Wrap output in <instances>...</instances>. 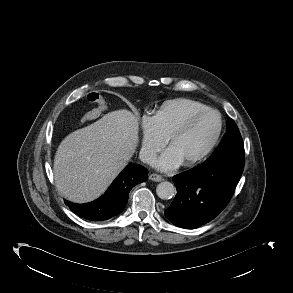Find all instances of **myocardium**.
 Here are the masks:
<instances>
[{"label":"myocardium","instance_id":"myocardium-1","mask_svg":"<svg viewBox=\"0 0 293 293\" xmlns=\"http://www.w3.org/2000/svg\"><path fill=\"white\" fill-rule=\"evenodd\" d=\"M206 114H214L217 116V119H218L217 131H216L214 137L212 138V140L210 141V143L206 146V148L200 154H198L196 157L182 163L186 167H192V166H195V165L199 164L200 162H202L212 152V150L217 145L219 138L221 136V133H222V129H223V121H222L221 114L217 110L211 109V108H207L205 110L198 111V112L190 115L167 138V145L169 146L174 139H176L177 137L184 134L198 118H200Z\"/></svg>","mask_w":293,"mask_h":293}]
</instances>
